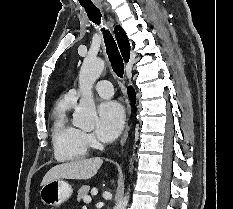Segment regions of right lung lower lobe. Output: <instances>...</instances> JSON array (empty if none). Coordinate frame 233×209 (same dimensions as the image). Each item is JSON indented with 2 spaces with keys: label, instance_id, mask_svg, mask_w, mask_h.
Returning <instances> with one entry per match:
<instances>
[{
  "label": "right lung lower lobe",
  "instance_id": "right-lung-lower-lobe-1",
  "mask_svg": "<svg viewBox=\"0 0 233 209\" xmlns=\"http://www.w3.org/2000/svg\"><path fill=\"white\" fill-rule=\"evenodd\" d=\"M128 96L131 100L132 103H135L136 101V95H135V91L132 87H128Z\"/></svg>",
  "mask_w": 233,
  "mask_h": 209
}]
</instances>
